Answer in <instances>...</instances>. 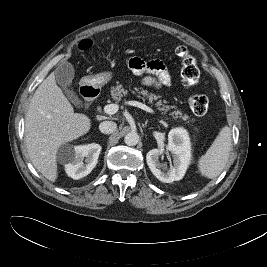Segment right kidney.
Returning <instances> with one entry per match:
<instances>
[{"label":"right kidney","instance_id":"right-kidney-1","mask_svg":"<svg viewBox=\"0 0 267 267\" xmlns=\"http://www.w3.org/2000/svg\"><path fill=\"white\" fill-rule=\"evenodd\" d=\"M101 149V146L95 143L75 146L68 163L65 164L67 175L78 180L90 174L98 162Z\"/></svg>","mask_w":267,"mask_h":267}]
</instances>
